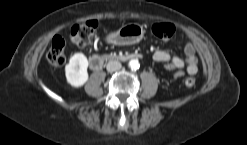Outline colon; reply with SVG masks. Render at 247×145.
I'll list each match as a JSON object with an SVG mask.
<instances>
[{"instance_id": "5ec220e1", "label": "colon", "mask_w": 247, "mask_h": 145, "mask_svg": "<svg viewBox=\"0 0 247 145\" xmlns=\"http://www.w3.org/2000/svg\"><path fill=\"white\" fill-rule=\"evenodd\" d=\"M97 23L95 20H89L75 25L71 30V40L78 46H86L95 34ZM155 36L162 40H169L175 34V27L171 23H158L152 27ZM47 59L52 65H62L66 60L65 41L63 37L57 35L53 38L47 53ZM182 72H176V77H181ZM184 83L187 87H192L196 83V77L193 74L186 76Z\"/></svg>"}]
</instances>
